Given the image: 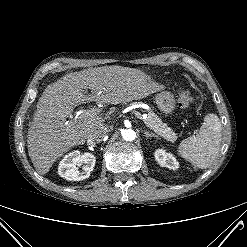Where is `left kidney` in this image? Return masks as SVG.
<instances>
[{
  "instance_id": "left-kidney-1",
  "label": "left kidney",
  "mask_w": 247,
  "mask_h": 247,
  "mask_svg": "<svg viewBox=\"0 0 247 247\" xmlns=\"http://www.w3.org/2000/svg\"><path fill=\"white\" fill-rule=\"evenodd\" d=\"M155 160L162 166L172 170L179 168V163L176 158L170 154L166 153L163 149H157L154 153Z\"/></svg>"
}]
</instances>
